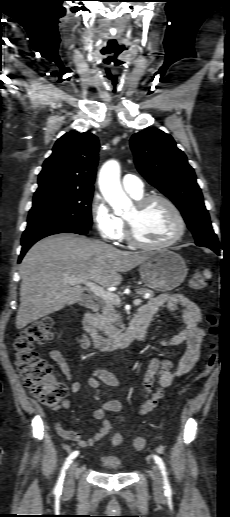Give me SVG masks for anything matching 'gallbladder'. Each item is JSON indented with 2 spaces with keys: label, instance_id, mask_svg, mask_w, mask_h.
Masks as SVG:
<instances>
[{
  "label": "gallbladder",
  "instance_id": "1",
  "mask_svg": "<svg viewBox=\"0 0 230 517\" xmlns=\"http://www.w3.org/2000/svg\"><path fill=\"white\" fill-rule=\"evenodd\" d=\"M83 303H84V300H83V299H81V300H80V304H83Z\"/></svg>",
  "mask_w": 230,
  "mask_h": 517
}]
</instances>
